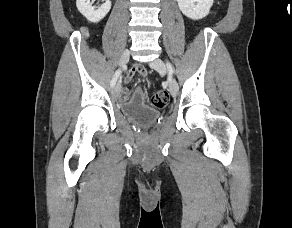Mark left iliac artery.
I'll list each match as a JSON object with an SVG mask.
<instances>
[{
  "label": "left iliac artery",
  "mask_w": 292,
  "mask_h": 228,
  "mask_svg": "<svg viewBox=\"0 0 292 228\" xmlns=\"http://www.w3.org/2000/svg\"><path fill=\"white\" fill-rule=\"evenodd\" d=\"M167 67H168L169 73L173 74L174 70H173L172 65L169 62H167Z\"/></svg>",
  "instance_id": "44dca946"
}]
</instances>
